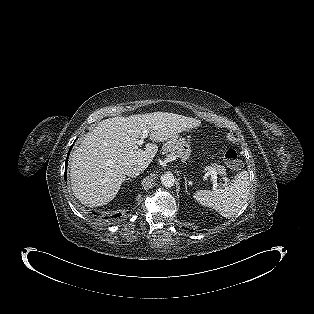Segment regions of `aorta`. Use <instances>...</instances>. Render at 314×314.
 <instances>
[{"label":"aorta","instance_id":"obj_1","mask_svg":"<svg viewBox=\"0 0 314 314\" xmlns=\"http://www.w3.org/2000/svg\"><path fill=\"white\" fill-rule=\"evenodd\" d=\"M161 183L165 187H172L175 183V178L171 173H165L161 176Z\"/></svg>","mask_w":314,"mask_h":314}]
</instances>
